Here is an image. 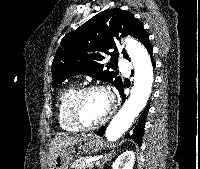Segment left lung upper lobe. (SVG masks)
Instances as JSON below:
<instances>
[{"label": "left lung upper lobe", "instance_id": "left-lung-upper-lobe-1", "mask_svg": "<svg viewBox=\"0 0 200 169\" xmlns=\"http://www.w3.org/2000/svg\"><path fill=\"white\" fill-rule=\"evenodd\" d=\"M131 35L146 45L149 36L143 25L133 14L121 9L104 10L77 30L65 35L58 48L53 63V86L63 82L71 75L83 74L112 83L117 89L123 84L120 77L114 72L105 69L99 62L109 54L112 63L117 65L118 49L114 38ZM124 58L129 60L125 50ZM113 68L114 65L108 63Z\"/></svg>", "mask_w": 200, "mask_h": 169}]
</instances>
